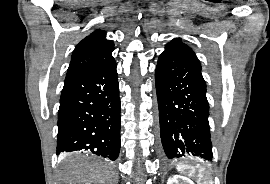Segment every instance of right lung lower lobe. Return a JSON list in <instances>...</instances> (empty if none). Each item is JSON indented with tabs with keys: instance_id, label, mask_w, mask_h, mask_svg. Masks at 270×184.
<instances>
[{
	"instance_id": "right-lung-lower-lobe-1",
	"label": "right lung lower lobe",
	"mask_w": 270,
	"mask_h": 184,
	"mask_svg": "<svg viewBox=\"0 0 270 184\" xmlns=\"http://www.w3.org/2000/svg\"><path fill=\"white\" fill-rule=\"evenodd\" d=\"M120 127L115 61L66 77L58 111L57 155L83 150L116 160Z\"/></svg>"
}]
</instances>
